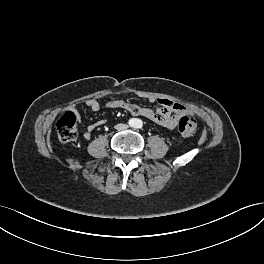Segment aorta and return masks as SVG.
Here are the masks:
<instances>
[{
    "label": "aorta",
    "mask_w": 264,
    "mask_h": 264,
    "mask_svg": "<svg viewBox=\"0 0 264 264\" xmlns=\"http://www.w3.org/2000/svg\"><path fill=\"white\" fill-rule=\"evenodd\" d=\"M131 127L133 128H141L142 127V120L133 118L130 121Z\"/></svg>",
    "instance_id": "1"
}]
</instances>
